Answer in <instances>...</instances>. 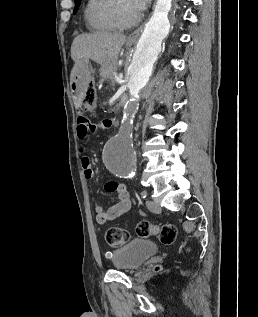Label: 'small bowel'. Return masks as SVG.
I'll return each instance as SVG.
<instances>
[{
	"label": "small bowel",
	"mask_w": 258,
	"mask_h": 317,
	"mask_svg": "<svg viewBox=\"0 0 258 317\" xmlns=\"http://www.w3.org/2000/svg\"><path fill=\"white\" fill-rule=\"evenodd\" d=\"M115 124L112 120L103 121L100 124H93L85 118H79L76 126V133L79 139H85L89 132H95L99 129L110 128ZM84 150L81 149V152ZM81 166L86 179H91L94 176L91 160L88 156L82 155ZM104 190L107 193L117 194V203L108 209H105L101 203L95 204L96 220L99 224H106L114 219L124 216L131 207V200L125 185L117 181H109L105 184Z\"/></svg>",
	"instance_id": "1"
}]
</instances>
